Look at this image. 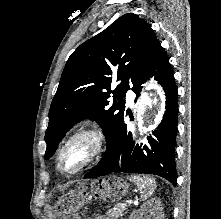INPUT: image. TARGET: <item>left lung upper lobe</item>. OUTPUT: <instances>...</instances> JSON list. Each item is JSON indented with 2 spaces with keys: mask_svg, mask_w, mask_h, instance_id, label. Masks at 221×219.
Masks as SVG:
<instances>
[{
  "mask_svg": "<svg viewBox=\"0 0 221 219\" xmlns=\"http://www.w3.org/2000/svg\"><path fill=\"white\" fill-rule=\"evenodd\" d=\"M159 46L151 27L133 13L82 43L69 57L51 103L45 158L54 154L65 133L84 118L102 127L108 143L125 115L126 92L130 86L133 91L138 88ZM114 81L119 84L112 91Z\"/></svg>",
  "mask_w": 221,
  "mask_h": 219,
  "instance_id": "left-lung-upper-lobe-1",
  "label": "left lung upper lobe"
}]
</instances>
